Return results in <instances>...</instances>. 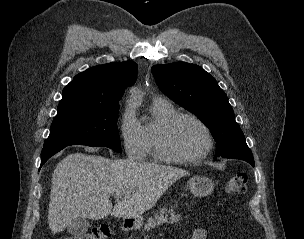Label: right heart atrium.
I'll return each mask as SVG.
<instances>
[{
    "instance_id": "right-heart-atrium-1",
    "label": "right heart atrium",
    "mask_w": 304,
    "mask_h": 239,
    "mask_svg": "<svg viewBox=\"0 0 304 239\" xmlns=\"http://www.w3.org/2000/svg\"><path fill=\"white\" fill-rule=\"evenodd\" d=\"M119 134L126 154L134 159L146 156V142L142 125L131 107H126L119 122Z\"/></svg>"
}]
</instances>
